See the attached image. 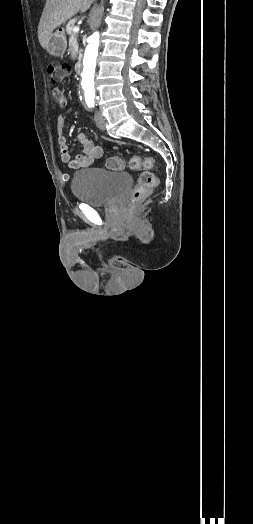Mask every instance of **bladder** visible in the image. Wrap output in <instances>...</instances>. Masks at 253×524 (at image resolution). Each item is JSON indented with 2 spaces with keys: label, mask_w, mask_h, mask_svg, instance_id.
I'll use <instances>...</instances> for the list:
<instances>
[{
  "label": "bladder",
  "mask_w": 253,
  "mask_h": 524,
  "mask_svg": "<svg viewBox=\"0 0 253 524\" xmlns=\"http://www.w3.org/2000/svg\"><path fill=\"white\" fill-rule=\"evenodd\" d=\"M131 184L132 178L126 172L91 167L74 173L71 189L75 199L91 206H103L119 198Z\"/></svg>",
  "instance_id": "31cf9c89"
}]
</instances>
